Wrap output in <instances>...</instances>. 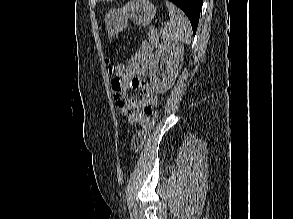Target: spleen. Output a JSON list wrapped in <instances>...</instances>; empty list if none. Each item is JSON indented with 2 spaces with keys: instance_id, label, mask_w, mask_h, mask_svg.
I'll use <instances>...</instances> for the list:
<instances>
[{
  "instance_id": "spleen-1",
  "label": "spleen",
  "mask_w": 293,
  "mask_h": 219,
  "mask_svg": "<svg viewBox=\"0 0 293 219\" xmlns=\"http://www.w3.org/2000/svg\"><path fill=\"white\" fill-rule=\"evenodd\" d=\"M166 6L169 10L170 20L165 24L164 28L160 30V36L169 42H182L188 44L192 34L190 21L185 14L171 2L166 1Z\"/></svg>"
}]
</instances>
